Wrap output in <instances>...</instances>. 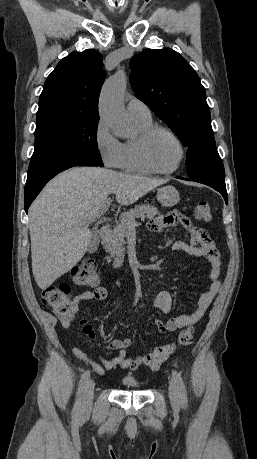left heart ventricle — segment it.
Masks as SVG:
<instances>
[{"mask_svg": "<svg viewBox=\"0 0 257 459\" xmlns=\"http://www.w3.org/2000/svg\"><path fill=\"white\" fill-rule=\"evenodd\" d=\"M150 154L157 167L170 170L175 167L180 157L176 142L165 133H158L150 144Z\"/></svg>", "mask_w": 257, "mask_h": 459, "instance_id": "obj_1", "label": "left heart ventricle"}]
</instances>
